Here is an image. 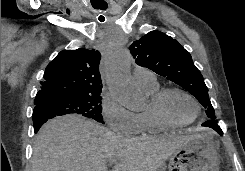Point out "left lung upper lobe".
<instances>
[{
  "label": "left lung upper lobe",
  "instance_id": "left-lung-upper-lobe-1",
  "mask_svg": "<svg viewBox=\"0 0 245 171\" xmlns=\"http://www.w3.org/2000/svg\"><path fill=\"white\" fill-rule=\"evenodd\" d=\"M130 50L138 65L189 91L206 108L208 121L216 122L203 76L194 65L190 53L177 40L160 31H151L133 42Z\"/></svg>",
  "mask_w": 245,
  "mask_h": 171
}]
</instances>
